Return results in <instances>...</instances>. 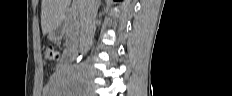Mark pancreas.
I'll use <instances>...</instances> for the list:
<instances>
[{
    "label": "pancreas",
    "mask_w": 232,
    "mask_h": 96,
    "mask_svg": "<svg viewBox=\"0 0 232 96\" xmlns=\"http://www.w3.org/2000/svg\"><path fill=\"white\" fill-rule=\"evenodd\" d=\"M78 22L75 17L68 16L63 25V34L67 51H71L77 47L78 43Z\"/></svg>",
    "instance_id": "1"
}]
</instances>
